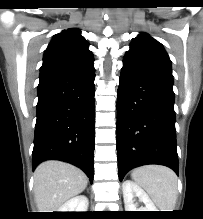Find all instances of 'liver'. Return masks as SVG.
I'll list each match as a JSON object with an SVG mask.
<instances>
[{
    "mask_svg": "<svg viewBox=\"0 0 203 219\" xmlns=\"http://www.w3.org/2000/svg\"><path fill=\"white\" fill-rule=\"evenodd\" d=\"M87 183L86 174L71 164L56 160L42 162L34 172L39 212H58L65 202L83 192Z\"/></svg>",
    "mask_w": 203,
    "mask_h": 219,
    "instance_id": "obj_1",
    "label": "liver"
}]
</instances>
